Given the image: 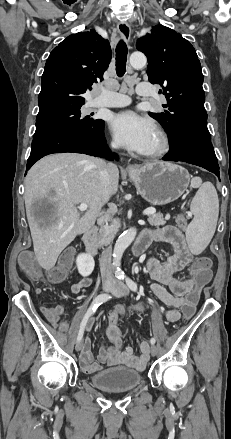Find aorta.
<instances>
[{"label": "aorta", "instance_id": "762f6f07", "mask_svg": "<svg viewBox=\"0 0 231 439\" xmlns=\"http://www.w3.org/2000/svg\"><path fill=\"white\" fill-rule=\"evenodd\" d=\"M129 61L130 65L133 68H143L147 63V58L141 52H134L131 54ZM136 233L137 232L135 228H130L124 231L115 243L113 250V267L115 268L116 277H121L124 275L123 271L120 268L121 259L124 251L135 239Z\"/></svg>", "mask_w": 231, "mask_h": 439}]
</instances>
